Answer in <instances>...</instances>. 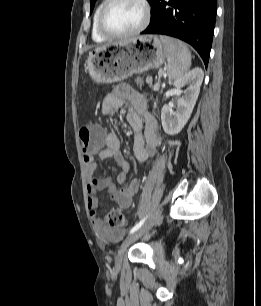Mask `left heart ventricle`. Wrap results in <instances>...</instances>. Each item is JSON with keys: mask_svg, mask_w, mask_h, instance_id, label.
I'll use <instances>...</instances> for the list:
<instances>
[{"mask_svg": "<svg viewBox=\"0 0 261 306\" xmlns=\"http://www.w3.org/2000/svg\"><path fill=\"white\" fill-rule=\"evenodd\" d=\"M144 11L136 0H120L108 11L105 22L114 32L127 33L142 22Z\"/></svg>", "mask_w": 261, "mask_h": 306, "instance_id": "1", "label": "left heart ventricle"}]
</instances>
